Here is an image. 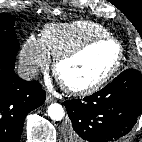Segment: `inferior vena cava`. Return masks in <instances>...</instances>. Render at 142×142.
I'll return each mask as SVG.
<instances>
[{
  "label": "inferior vena cava",
  "instance_id": "obj_1",
  "mask_svg": "<svg viewBox=\"0 0 142 142\" xmlns=\"http://www.w3.org/2000/svg\"><path fill=\"white\" fill-rule=\"evenodd\" d=\"M18 76L24 80H32L39 73V68L32 64L20 63L17 69Z\"/></svg>",
  "mask_w": 142,
  "mask_h": 142
}]
</instances>
